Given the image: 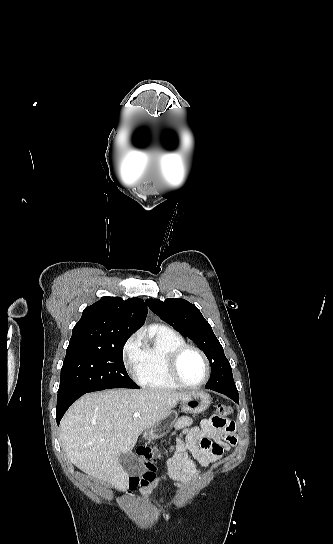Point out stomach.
I'll use <instances>...</instances> for the list:
<instances>
[{"mask_svg": "<svg viewBox=\"0 0 333 544\" xmlns=\"http://www.w3.org/2000/svg\"><path fill=\"white\" fill-rule=\"evenodd\" d=\"M210 403V396L204 392L189 393L180 401L181 410L185 413L204 412L209 407ZM177 419V412L171 411L164 419L148 428L144 433V438L151 441L165 436L173 428Z\"/></svg>", "mask_w": 333, "mask_h": 544, "instance_id": "0dacf381", "label": "stomach"}]
</instances>
